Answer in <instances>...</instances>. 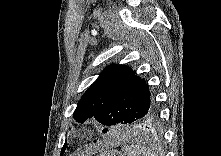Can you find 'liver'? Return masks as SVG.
I'll list each match as a JSON object with an SVG mask.
<instances>
[{
	"label": "liver",
	"instance_id": "obj_1",
	"mask_svg": "<svg viewBox=\"0 0 221 156\" xmlns=\"http://www.w3.org/2000/svg\"><path fill=\"white\" fill-rule=\"evenodd\" d=\"M104 148L103 145H97V146H93V147H90L88 150H87V154L88 155H91L93 152H96V151H100Z\"/></svg>",
	"mask_w": 221,
	"mask_h": 156
}]
</instances>
